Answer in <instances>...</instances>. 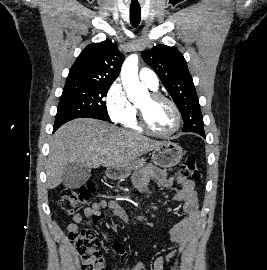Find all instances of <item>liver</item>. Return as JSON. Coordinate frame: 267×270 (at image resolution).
I'll return each instance as SVG.
<instances>
[{"label": "liver", "instance_id": "6515ba94", "mask_svg": "<svg viewBox=\"0 0 267 270\" xmlns=\"http://www.w3.org/2000/svg\"><path fill=\"white\" fill-rule=\"evenodd\" d=\"M163 143L101 120L75 119L52 137L46 164L47 187L54 189L61 184L63 170L70 163L88 168L123 166Z\"/></svg>", "mask_w": 267, "mask_h": 270}]
</instances>
